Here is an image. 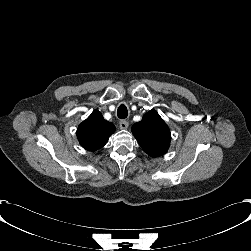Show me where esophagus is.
Wrapping results in <instances>:
<instances>
[{
  "instance_id": "obj_1",
  "label": "esophagus",
  "mask_w": 251,
  "mask_h": 251,
  "mask_svg": "<svg viewBox=\"0 0 251 251\" xmlns=\"http://www.w3.org/2000/svg\"><path fill=\"white\" fill-rule=\"evenodd\" d=\"M119 125H120V129H127L129 127V122L126 120H121Z\"/></svg>"
}]
</instances>
